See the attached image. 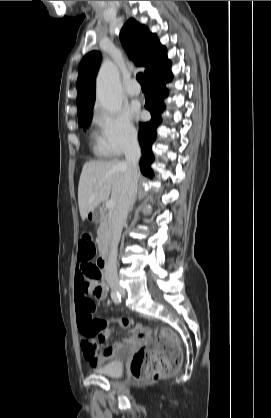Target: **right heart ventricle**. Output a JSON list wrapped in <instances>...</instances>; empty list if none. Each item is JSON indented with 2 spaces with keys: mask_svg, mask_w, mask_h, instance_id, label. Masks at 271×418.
<instances>
[{
  "mask_svg": "<svg viewBox=\"0 0 271 418\" xmlns=\"http://www.w3.org/2000/svg\"><path fill=\"white\" fill-rule=\"evenodd\" d=\"M91 138H92V149L94 153L100 157L107 156L108 153L106 152V150L104 149L101 143L100 136L96 132H92Z\"/></svg>",
  "mask_w": 271,
  "mask_h": 418,
  "instance_id": "1",
  "label": "right heart ventricle"
}]
</instances>
